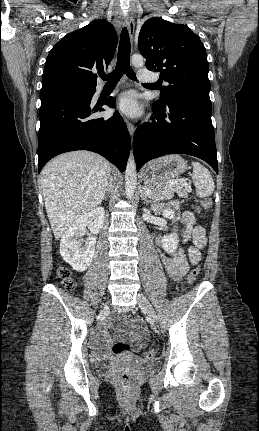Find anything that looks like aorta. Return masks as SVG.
<instances>
[{
	"label": "aorta",
	"mask_w": 259,
	"mask_h": 431,
	"mask_svg": "<svg viewBox=\"0 0 259 431\" xmlns=\"http://www.w3.org/2000/svg\"><path fill=\"white\" fill-rule=\"evenodd\" d=\"M133 66L140 68L144 65V59L141 55H133L131 58ZM137 184V173L136 164L133 156V152L127 161L126 172H125V192L128 199H131L134 195Z\"/></svg>",
	"instance_id": "obj_1"
}]
</instances>
